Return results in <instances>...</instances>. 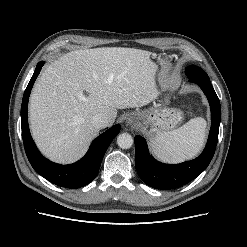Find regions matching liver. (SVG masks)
Returning a JSON list of instances; mask_svg holds the SVG:
<instances>
[{
	"instance_id": "6515ba94",
	"label": "liver",
	"mask_w": 247,
	"mask_h": 247,
	"mask_svg": "<svg viewBox=\"0 0 247 247\" xmlns=\"http://www.w3.org/2000/svg\"><path fill=\"white\" fill-rule=\"evenodd\" d=\"M151 52L123 47L76 50L52 62L37 80L29 103L33 139L50 160L80 159L99 130V113L109 126L117 109L141 107L155 95Z\"/></svg>"
}]
</instances>
